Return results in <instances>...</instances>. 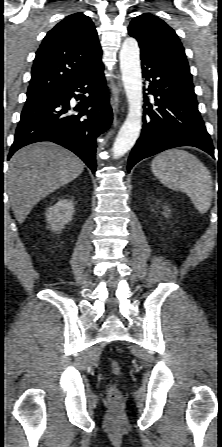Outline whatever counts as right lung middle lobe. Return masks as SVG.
Here are the masks:
<instances>
[{
  "label": "right lung middle lobe",
  "instance_id": "right-lung-middle-lobe-1",
  "mask_svg": "<svg viewBox=\"0 0 222 447\" xmlns=\"http://www.w3.org/2000/svg\"><path fill=\"white\" fill-rule=\"evenodd\" d=\"M48 99H50V98H27L24 108L40 104L44 101H47Z\"/></svg>",
  "mask_w": 222,
  "mask_h": 447
}]
</instances>
